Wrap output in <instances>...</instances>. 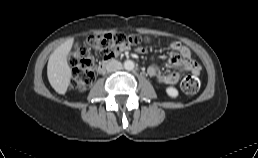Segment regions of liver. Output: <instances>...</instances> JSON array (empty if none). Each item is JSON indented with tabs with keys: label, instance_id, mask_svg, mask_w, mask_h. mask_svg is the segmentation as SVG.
<instances>
[{
	"label": "liver",
	"instance_id": "liver-1",
	"mask_svg": "<svg viewBox=\"0 0 258 158\" xmlns=\"http://www.w3.org/2000/svg\"><path fill=\"white\" fill-rule=\"evenodd\" d=\"M74 39H68L58 46L50 55L47 65V76L52 88L59 94H65L69 86L72 70L67 62Z\"/></svg>",
	"mask_w": 258,
	"mask_h": 158
}]
</instances>
